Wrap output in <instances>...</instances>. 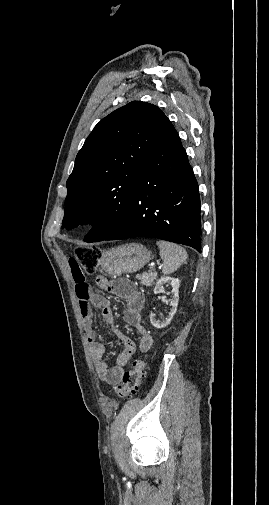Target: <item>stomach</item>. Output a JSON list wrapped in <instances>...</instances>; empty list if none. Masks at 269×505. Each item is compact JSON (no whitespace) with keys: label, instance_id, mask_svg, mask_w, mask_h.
<instances>
[{"label":"stomach","instance_id":"1","mask_svg":"<svg viewBox=\"0 0 269 505\" xmlns=\"http://www.w3.org/2000/svg\"><path fill=\"white\" fill-rule=\"evenodd\" d=\"M151 260V252L142 244L128 243L102 253L101 268L110 276L134 273Z\"/></svg>","mask_w":269,"mask_h":505}]
</instances>
